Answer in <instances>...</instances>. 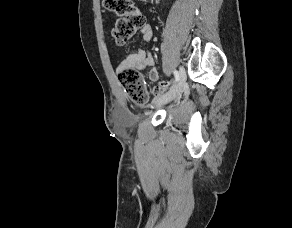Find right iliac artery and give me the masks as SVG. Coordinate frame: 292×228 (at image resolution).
<instances>
[{
    "mask_svg": "<svg viewBox=\"0 0 292 228\" xmlns=\"http://www.w3.org/2000/svg\"><path fill=\"white\" fill-rule=\"evenodd\" d=\"M174 76H175V80L176 81H179L180 75H179V72L178 71L174 70Z\"/></svg>",
    "mask_w": 292,
    "mask_h": 228,
    "instance_id": "right-iliac-artery-1",
    "label": "right iliac artery"
}]
</instances>
